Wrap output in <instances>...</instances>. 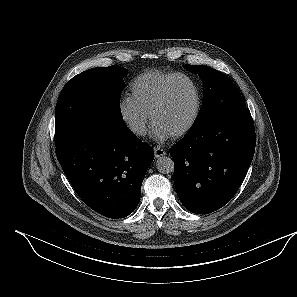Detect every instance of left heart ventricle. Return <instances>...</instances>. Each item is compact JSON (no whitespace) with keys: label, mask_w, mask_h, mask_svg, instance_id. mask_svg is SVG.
Masks as SVG:
<instances>
[{"label":"left heart ventricle","mask_w":297,"mask_h":297,"mask_svg":"<svg viewBox=\"0 0 297 297\" xmlns=\"http://www.w3.org/2000/svg\"><path fill=\"white\" fill-rule=\"evenodd\" d=\"M195 106V92L186 80L174 84L164 106L155 114L153 125L172 135L190 119Z\"/></svg>","instance_id":"left-heart-ventricle-1"}]
</instances>
